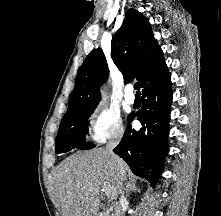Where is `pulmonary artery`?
<instances>
[{
	"label": "pulmonary artery",
	"instance_id": "e3ab8cb5",
	"mask_svg": "<svg viewBox=\"0 0 221 216\" xmlns=\"http://www.w3.org/2000/svg\"><path fill=\"white\" fill-rule=\"evenodd\" d=\"M125 100L128 104H133L135 102V95L133 93L132 86H128L125 91Z\"/></svg>",
	"mask_w": 221,
	"mask_h": 216
}]
</instances>
